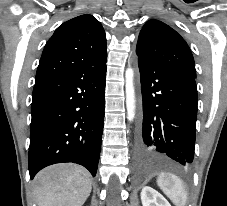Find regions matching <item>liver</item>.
Here are the masks:
<instances>
[{
    "label": "liver",
    "mask_w": 227,
    "mask_h": 206,
    "mask_svg": "<svg viewBox=\"0 0 227 206\" xmlns=\"http://www.w3.org/2000/svg\"><path fill=\"white\" fill-rule=\"evenodd\" d=\"M90 173L76 164H57L35 177L34 196L38 206H82L91 193Z\"/></svg>",
    "instance_id": "obj_1"
}]
</instances>
